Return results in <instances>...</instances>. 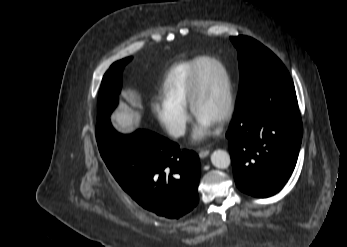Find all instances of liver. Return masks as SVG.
Segmentation results:
<instances>
[{
  "mask_svg": "<svg viewBox=\"0 0 347 247\" xmlns=\"http://www.w3.org/2000/svg\"><path fill=\"white\" fill-rule=\"evenodd\" d=\"M124 97L126 101L134 108L127 105H123L119 110H116L112 114V121L114 122V127L120 133H128L133 131L134 125H138L141 122L140 114L137 110L141 106L136 95L132 92L125 93Z\"/></svg>",
  "mask_w": 347,
  "mask_h": 247,
  "instance_id": "liver-1",
  "label": "liver"
}]
</instances>
